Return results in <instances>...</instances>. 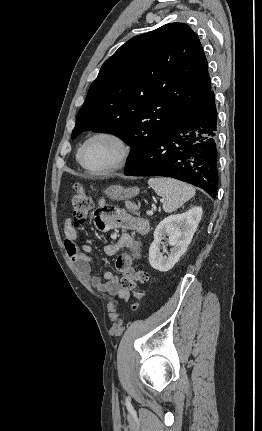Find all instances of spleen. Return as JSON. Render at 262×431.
Returning <instances> with one entry per match:
<instances>
[{"mask_svg":"<svg viewBox=\"0 0 262 431\" xmlns=\"http://www.w3.org/2000/svg\"><path fill=\"white\" fill-rule=\"evenodd\" d=\"M148 184L157 195L164 198L163 210L171 213L180 208L195 195V189L179 180L166 177H153Z\"/></svg>","mask_w":262,"mask_h":431,"instance_id":"spleen-1","label":"spleen"}]
</instances>
